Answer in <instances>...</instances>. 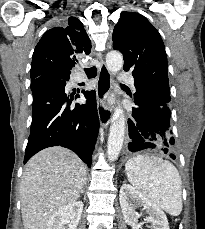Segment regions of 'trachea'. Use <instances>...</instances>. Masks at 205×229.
Returning <instances> with one entry per match:
<instances>
[{"label": "trachea", "instance_id": "1", "mask_svg": "<svg viewBox=\"0 0 205 229\" xmlns=\"http://www.w3.org/2000/svg\"><path fill=\"white\" fill-rule=\"evenodd\" d=\"M85 72H86L88 78H94L96 76L97 70L95 67H92V68L85 69Z\"/></svg>", "mask_w": 205, "mask_h": 229}]
</instances>
